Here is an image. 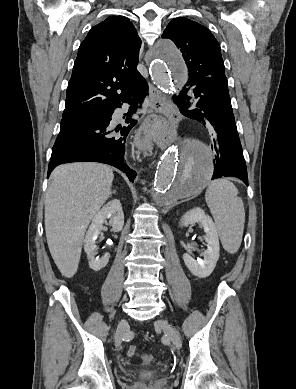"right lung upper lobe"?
Here are the masks:
<instances>
[{"label": "right lung upper lobe", "mask_w": 296, "mask_h": 389, "mask_svg": "<svg viewBox=\"0 0 296 389\" xmlns=\"http://www.w3.org/2000/svg\"><path fill=\"white\" fill-rule=\"evenodd\" d=\"M141 39L131 21L111 16L81 43L67 87L63 118L96 116L115 109L141 77Z\"/></svg>", "instance_id": "obj_1"}]
</instances>
